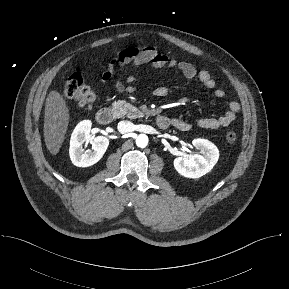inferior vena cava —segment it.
Segmentation results:
<instances>
[{
  "mask_svg": "<svg viewBox=\"0 0 289 289\" xmlns=\"http://www.w3.org/2000/svg\"><path fill=\"white\" fill-rule=\"evenodd\" d=\"M117 128L121 134H125L132 132L134 130V125L130 121H120Z\"/></svg>",
  "mask_w": 289,
  "mask_h": 289,
  "instance_id": "inferior-vena-cava-1",
  "label": "inferior vena cava"
}]
</instances>
